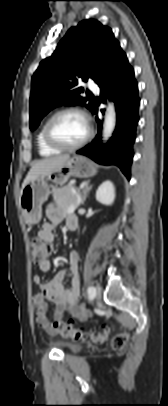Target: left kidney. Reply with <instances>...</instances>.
I'll use <instances>...</instances> for the list:
<instances>
[{"label":"left kidney","mask_w":168,"mask_h":406,"mask_svg":"<svg viewBox=\"0 0 168 406\" xmlns=\"http://www.w3.org/2000/svg\"><path fill=\"white\" fill-rule=\"evenodd\" d=\"M115 199V188L111 181L103 182L96 191V200L104 205H111Z\"/></svg>","instance_id":"obj_1"}]
</instances>
